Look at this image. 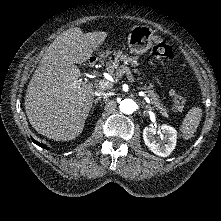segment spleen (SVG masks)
<instances>
[{"label":"spleen","instance_id":"obj_1","mask_svg":"<svg viewBox=\"0 0 221 221\" xmlns=\"http://www.w3.org/2000/svg\"><path fill=\"white\" fill-rule=\"evenodd\" d=\"M202 109L200 107H193L184 117L180 126L182 136L188 140L191 139L196 132V129L201 121Z\"/></svg>","mask_w":221,"mask_h":221}]
</instances>
